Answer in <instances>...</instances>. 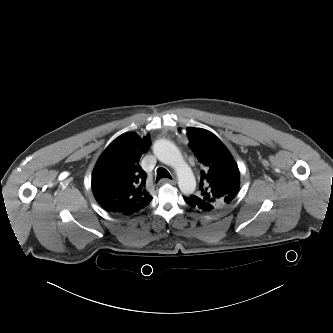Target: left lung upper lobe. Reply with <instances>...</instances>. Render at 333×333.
<instances>
[{
  "mask_svg": "<svg viewBox=\"0 0 333 333\" xmlns=\"http://www.w3.org/2000/svg\"><path fill=\"white\" fill-rule=\"evenodd\" d=\"M190 148L203 164L197 197L215 209L227 207L238 193L240 173L223 143L204 129L186 128Z\"/></svg>",
  "mask_w": 333,
  "mask_h": 333,
  "instance_id": "left-lung-upper-lobe-1",
  "label": "left lung upper lobe"
}]
</instances>
